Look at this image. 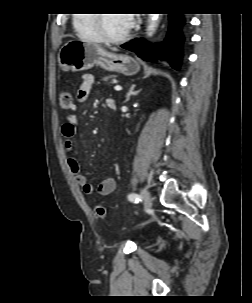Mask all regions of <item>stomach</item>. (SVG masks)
Segmentation results:
<instances>
[{
    "label": "stomach",
    "instance_id": "obj_1",
    "mask_svg": "<svg viewBox=\"0 0 252 303\" xmlns=\"http://www.w3.org/2000/svg\"><path fill=\"white\" fill-rule=\"evenodd\" d=\"M62 70L82 71L98 65L107 71L133 76L140 70L138 61L128 55L110 53L100 46L79 40H69L59 51Z\"/></svg>",
    "mask_w": 252,
    "mask_h": 303
}]
</instances>
